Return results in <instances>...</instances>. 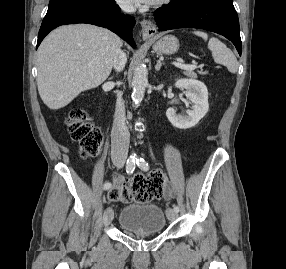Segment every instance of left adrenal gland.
Here are the masks:
<instances>
[{
	"label": "left adrenal gland",
	"mask_w": 286,
	"mask_h": 269,
	"mask_svg": "<svg viewBox=\"0 0 286 269\" xmlns=\"http://www.w3.org/2000/svg\"><path fill=\"white\" fill-rule=\"evenodd\" d=\"M162 62L160 61V60H157V64L155 65V70L156 71H159L160 70V68H161V66H162Z\"/></svg>",
	"instance_id": "left-adrenal-gland-1"
}]
</instances>
